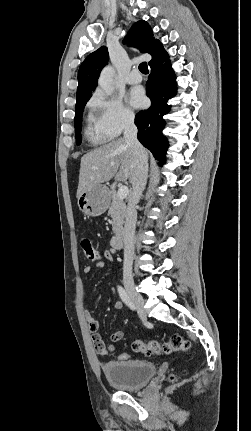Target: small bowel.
<instances>
[{"label": "small bowel", "mask_w": 251, "mask_h": 431, "mask_svg": "<svg viewBox=\"0 0 251 431\" xmlns=\"http://www.w3.org/2000/svg\"><path fill=\"white\" fill-rule=\"evenodd\" d=\"M103 255L110 262L114 260L113 255L110 251H104ZM94 267L99 269H104L106 265L103 261L99 260V261H96L94 265L85 266L83 269V272L87 275L91 274ZM115 308L118 311H122L124 308L123 303L120 301L116 302ZM84 317H85V320L87 321L88 329L91 333L93 347L98 354L100 355L109 354L113 350V343L118 342L124 338L123 331H116L112 333L109 337L110 344H106L99 333V328H100L99 322L94 317L92 312L90 310H86L84 312Z\"/></svg>", "instance_id": "obj_1"}]
</instances>
